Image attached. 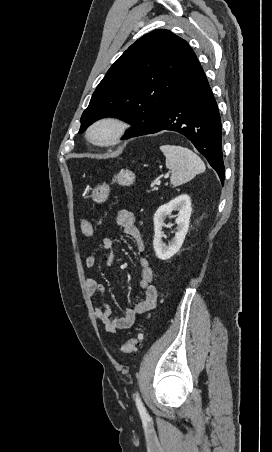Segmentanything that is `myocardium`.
Returning <instances> with one entry per match:
<instances>
[{
	"label": "myocardium",
	"mask_w": 272,
	"mask_h": 452,
	"mask_svg": "<svg viewBox=\"0 0 272 452\" xmlns=\"http://www.w3.org/2000/svg\"><path fill=\"white\" fill-rule=\"evenodd\" d=\"M127 129L126 123L115 116H104L93 121L86 130L87 140L97 146L118 143Z\"/></svg>",
	"instance_id": "myocardium-1"
}]
</instances>
